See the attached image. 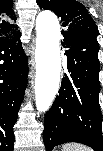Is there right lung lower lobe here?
<instances>
[{"label": "right lung lower lobe", "instance_id": "98d812e1", "mask_svg": "<svg viewBox=\"0 0 103 151\" xmlns=\"http://www.w3.org/2000/svg\"><path fill=\"white\" fill-rule=\"evenodd\" d=\"M20 31L0 37V151H13V126L27 85Z\"/></svg>", "mask_w": 103, "mask_h": 151}]
</instances>
